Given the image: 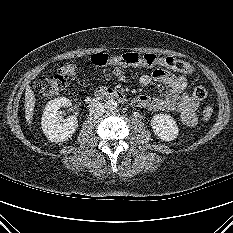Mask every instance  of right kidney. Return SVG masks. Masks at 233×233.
I'll use <instances>...</instances> for the list:
<instances>
[{"mask_svg": "<svg viewBox=\"0 0 233 233\" xmlns=\"http://www.w3.org/2000/svg\"><path fill=\"white\" fill-rule=\"evenodd\" d=\"M69 104V99L61 97L49 101L44 108L41 120L42 130L51 142L58 143L68 140L78 127L76 116H70L66 120L58 117L60 107Z\"/></svg>", "mask_w": 233, "mask_h": 233, "instance_id": "obj_1", "label": "right kidney"}]
</instances>
